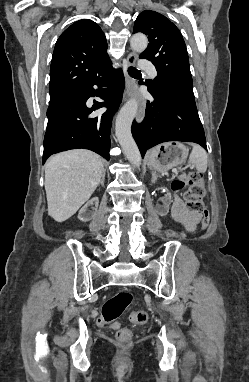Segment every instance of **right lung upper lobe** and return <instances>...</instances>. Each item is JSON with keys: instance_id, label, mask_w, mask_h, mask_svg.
Instances as JSON below:
<instances>
[{"instance_id": "cb5924a9", "label": "right lung upper lobe", "mask_w": 249, "mask_h": 382, "mask_svg": "<svg viewBox=\"0 0 249 382\" xmlns=\"http://www.w3.org/2000/svg\"><path fill=\"white\" fill-rule=\"evenodd\" d=\"M109 56L101 28L82 19L68 27L56 42L50 67V104L82 86Z\"/></svg>"}]
</instances>
